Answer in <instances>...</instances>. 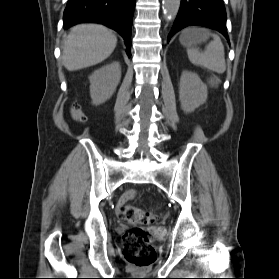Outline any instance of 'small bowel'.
<instances>
[{
    "mask_svg": "<svg viewBox=\"0 0 279 279\" xmlns=\"http://www.w3.org/2000/svg\"><path fill=\"white\" fill-rule=\"evenodd\" d=\"M135 198V192L133 190L127 191L124 193L117 202L116 208L119 211V208L124 205L128 200Z\"/></svg>",
    "mask_w": 279,
    "mask_h": 279,
    "instance_id": "obj_1",
    "label": "small bowel"
}]
</instances>
